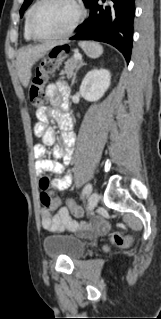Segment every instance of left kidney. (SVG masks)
<instances>
[{
	"label": "left kidney",
	"instance_id": "5707ae66",
	"mask_svg": "<svg viewBox=\"0 0 161 319\" xmlns=\"http://www.w3.org/2000/svg\"><path fill=\"white\" fill-rule=\"evenodd\" d=\"M111 75L107 69L89 71L80 86V94L87 101L99 100L110 86Z\"/></svg>",
	"mask_w": 161,
	"mask_h": 319
}]
</instances>
